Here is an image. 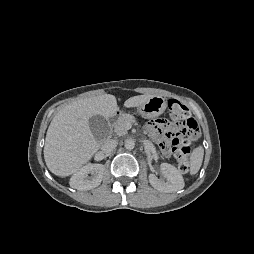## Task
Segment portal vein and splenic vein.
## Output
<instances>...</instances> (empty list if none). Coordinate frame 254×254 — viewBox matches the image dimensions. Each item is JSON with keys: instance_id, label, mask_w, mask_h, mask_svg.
Returning a JSON list of instances; mask_svg holds the SVG:
<instances>
[{"instance_id": "18ae733b", "label": "portal vein and splenic vein", "mask_w": 254, "mask_h": 254, "mask_svg": "<svg viewBox=\"0 0 254 254\" xmlns=\"http://www.w3.org/2000/svg\"><path fill=\"white\" fill-rule=\"evenodd\" d=\"M127 127H128V128L130 127V124H129V123L127 124Z\"/></svg>"}]
</instances>
